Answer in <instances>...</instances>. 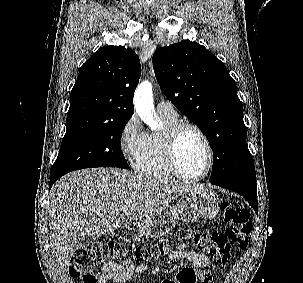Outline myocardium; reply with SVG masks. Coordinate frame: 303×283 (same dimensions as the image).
I'll return each instance as SVG.
<instances>
[{
    "mask_svg": "<svg viewBox=\"0 0 303 283\" xmlns=\"http://www.w3.org/2000/svg\"><path fill=\"white\" fill-rule=\"evenodd\" d=\"M185 129H191L194 132H196L198 136L202 139L205 148L207 150L208 161H207L206 169L203 172V174L197 177H191L186 175L180 168L178 162L177 144L181 133ZM163 138H164V148H165L167 162L171 170L175 173L177 177L190 182H198L205 179L208 176V174L210 173L213 167L214 153L210 140L199 126L191 122L178 121L165 130Z\"/></svg>",
    "mask_w": 303,
    "mask_h": 283,
    "instance_id": "f54148a6",
    "label": "myocardium"
}]
</instances>
